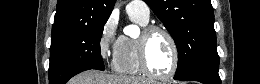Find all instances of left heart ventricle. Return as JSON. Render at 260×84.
Here are the masks:
<instances>
[{
    "instance_id": "b2bd125f",
    "label": "left heart ventricle",
    "mask_w": 260,
    "mask_h": 84,
    "mask_svg": "<svg viewBox=\"0 0 260 84\" xmlns=\"http://www.w3.org/2000/svg\"><path fill=\"white\" fill-rule=\"evenodd\" d=\"M147 60L151 70L167 74L172 66V49L168 38L161 32L154 33L147 47Z\"/></svg>"
}]
</instances>
